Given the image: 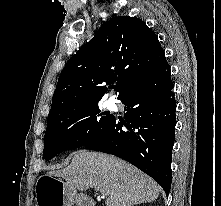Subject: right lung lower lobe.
Masks as SVG:
<instances>
[{"label":"right lung lower lobe","instance_id":"right-lung-lower-lobe-1","mask_svg":"<svg viewBox=\"0 0 221 206\" xmlns=\"http://www.w3.org/2000/svg\"><path fill=\"white\" fill-rule=\"evenodd\" d=\"M170 72L166 62L128 89L119 98L125 105V121L112 117L83 145L130 162L156 180L167 195L176 124Z\"/></svg>","mask_w":221,"mask_h":206}]
</instances>
